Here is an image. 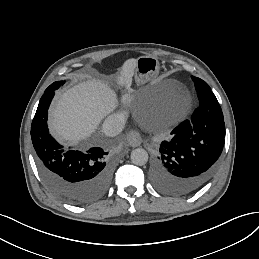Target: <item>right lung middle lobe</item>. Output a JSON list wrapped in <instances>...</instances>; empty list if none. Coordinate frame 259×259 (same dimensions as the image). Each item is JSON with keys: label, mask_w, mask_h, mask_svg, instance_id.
<instances>
[{"label": "right lung middle lobe", "mask_w": 259, "mask_h": 259, "mask_svg": "<svg viewBox=\"0 0 259 259\" xmlns=\"http://www.w3.org/2000/svg\"><path fill=\"white\" fill-rule=\"evenodd\" d=\"M65 83V81H57L52 83L44 93L51 92L57 90L60 86H62Z\"/></svg>", "instance_id": "dd1d6c3e"}]
</instances>
